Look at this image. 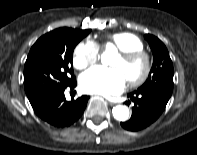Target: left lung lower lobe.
Masks as SVG:
<instances>
[{
  "label": "left lung lower lobe",
  "instance_id": "obj_1",
  "mask_svg": "<svg viewBox=\"0 0 197 155\" xmlns=\"http://www.w3.org/2000/svg\"><path fill=\"white\" fill-rule=\"evenodd\" d=\"M128 97L134 102L132 116L130 120L121 122V126L129 131H138L152 124L162 114L169 100L158 93L140 91L129 93Z\"/></svg>",
  "mask_w": 197,
  "mask_h": 155
}]
</instances>
